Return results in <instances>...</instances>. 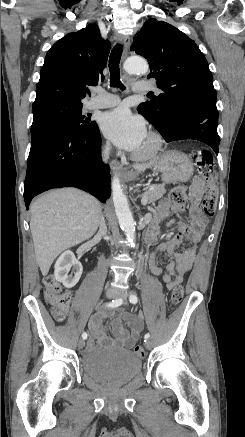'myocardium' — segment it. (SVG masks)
Segmentation results:
<instances>
[{
  "instance_id": "myocardium-1",
  "label": "myocardium",
  "mask_w": 245,
  "mask_h": 437,
  "mask_svg": "<svg viewBox=\"0 0 245 437\" xmlns=\"http://www.w3.org/2000/svg\"><path fill=\"white\" fill-rule=\"evenodd\" d=\"M147 139L150 143L149 148L144 152H136L133 157L136 160L145 161L155 158L163 148L164 140L162 136L155 132L149 131Z\"/></svg>"
}]
</instances>
